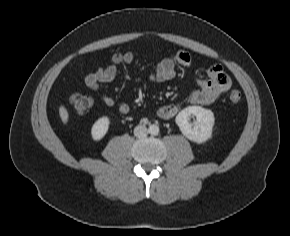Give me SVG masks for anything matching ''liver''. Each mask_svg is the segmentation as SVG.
<instances>
[{"label":"liver","mask_w":290,"mask_h":236,"mask_svg":"<svg viewBox=\"0 0 290 236\" xmlns=\"http://www.w3.org/2000/svg\"><path fill=\"white\" fill-rule=\"evenodd\" d=\"M59 115H60L62 122L64 124H66L68 122V119H69V114H68L67 109L63 105H61L59 107Z\"/></svg>","instance_id":"1"}]
</instances>
